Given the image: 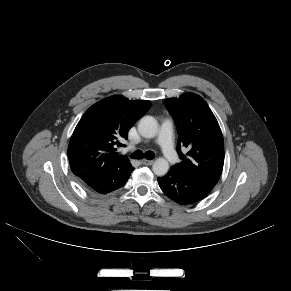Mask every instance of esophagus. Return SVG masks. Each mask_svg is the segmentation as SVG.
<instances>
[{"mask_svg": "<svg viewBox=\"0 0 291 291\" xmlns=\"http://www.w3.org/2000/svg\"><path fill=\"white\" fill-rule=\"evenodd\" d=\"M141 163L144 164V165H152L153 164V160L143 159L141 161Z\"/></svg>", "mask_w": 291, "mask_h": 291, "instance_id": "esophagus-1", "label": "esophagus"}]
</instances>
